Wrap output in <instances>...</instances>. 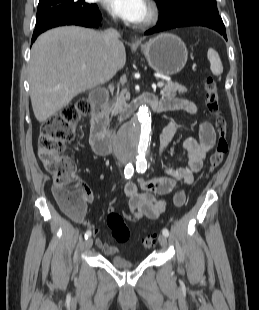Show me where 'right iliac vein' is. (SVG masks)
I'll list each match as a JSON object with an SVG mask.
<instances>
[{"instance_id": "right-iliac-vein-1", "label": "right iliac vein", "mask_w": 259, "mask_h": 310, "mask_svg": "<svg viewBox=\"0 0 259 310\" xmlns=\"http://www.w3.org/2000/svg\"><path fill=\"white\" fill-rule=\"evenodd\" d=\"M92 245H93V239L89 237V238L86 239V241H85V248H86V249H90V248L92 247Z\"/></svg>"}]
</instances>
